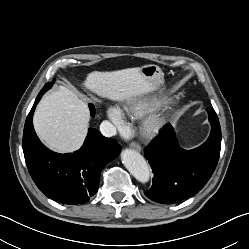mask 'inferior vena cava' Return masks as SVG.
Instances as JSON below:
<instances>
[{"label":"inferior vena cava","mask_w":249,"mask_h":249,"mask_svg":"<svg viewBox=\"0 0 249 249\" xmlns=\"http://www.w3.org/2000/svg\"><path fill=\"white\" fill-rule=\"evenodd\" d=\"M100 132L105 137H112L116 135L117 130H116V127L112 123L105 120L100 125Z\"/></svg>","instance_id":"602c4592"}]
</instances>
